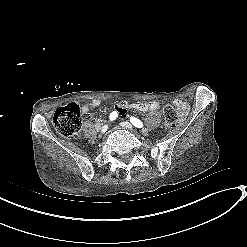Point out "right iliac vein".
Returning <instances> with one entry per match:
<instances>
[{
    "label": "right iliac vein",
    "mask_w": 247,
    "mask_h": 247,
    "mask_svg": "<svg viewBox=\"0 0 247 247\" xmlns=\"http://www.w3.org/2000/svg\"><path fill=\"white\" fill-rule=\"evenodd\" d=\"M107 129H108V125L102 126L101 133L104 134L107 131Z\"/></svg>",
    "instance_id": "obj_1"
}]
</instances>
